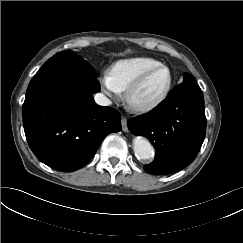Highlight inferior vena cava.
<instances>
[{
	"instance_id": "1",
	"label": "inferior vena cava",
	"mask_w": 243,
	"mask_h": 243,
	"mask_svg": "<svg viewBox=\"0 0 243 243\" xmlns=\"http://www.w3.org/2000/svg\"><path fill=\"white\" fill-rule=\"evenodd\" d=\"M95 99V102L98 104V105H101V106H109L111 104V101L109 98H107L104 94L102 93H98L95 95L94 97Z\"/></svg>"
}]
</instances>
